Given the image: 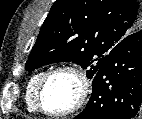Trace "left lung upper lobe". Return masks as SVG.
I'll return each instance as SVG.
<instances>
[{"mask_svg":"<svg viewBox=\"0 0 142 119\" xmlns=\"http://www.w3.org/2000/svg\"><path fill=\"white\" fill-rule=\"evenodd\" d=\"M142 27L135 0H57L45 19L26 69L72 61L93 78L108 53Z\"/></svg>","mask_w":142,"mask_h":119,"instance_id":"obj_1","label":"left lung upper lobe"}]
</instances>
